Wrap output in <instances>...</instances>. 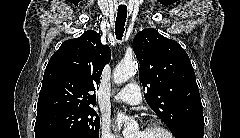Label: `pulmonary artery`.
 Here are the masks:
<instances>
[{"mask_svg":"<svg viewBox=\"0 0 240 138\" xmlns=\"http://www.w3.org/2000/svg\"><path fill=\"white\" fill-rule=\"evenodd\" d=\"M114 98L117 101L129 104L138 105L142 102V95L137 84L130 83L119 91Z\"/></svg>","mask_w":240,"mask_h":138,"instance_id":"pulmonary-artery-1","label":"pulmonary artery"}]
</instances>
